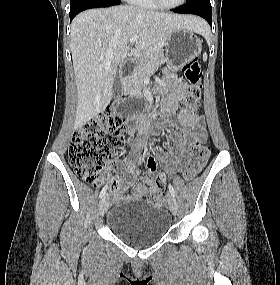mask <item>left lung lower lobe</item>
<instances>
[{
  "mask_svg": "<svg viewBox=\"0 0 280 285\" xmlns=\"http://www.w3.org/2000/svg\"><path fill=\"white\" fill-rule=\"evenodd\" d=\"M175 13L195 14L203 17L212 25L211 4L210 0H191L186 4L173 10Z\"/></svg>",
  "mask_w": 280,
  "mask_h": 285,
  "instance_id": "obj_1",
  "label": "left lung lower lobe"
}]
</instances>
